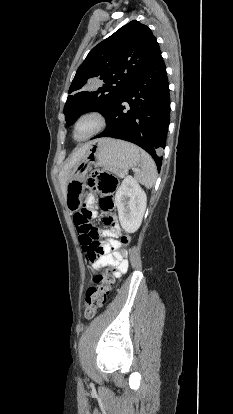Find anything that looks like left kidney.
I'll use <instances>...</instances> for the list:
<instances>
[{
	"label": "left kidney",
	"instance_id": "1",
	"mask_svg": "<svg viewBox=\"0 0 233 414\" xmlns=\"http://www.w3.org/2000/svg\"><path fill=\"white\" fill-rule=\"evenodd\" d=\"M115 204L122 228L128 233L136 232L142 223L147 197L132 176L122 181L115 195Z\"/></svg>",
	"mask_w": 233,
	"mask_h": 414
}]
</instances>
